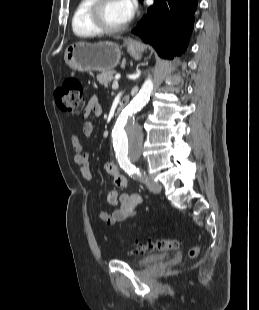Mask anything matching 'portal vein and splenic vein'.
I'll return each instance as SVG.
<instances>
[{
	"label": "portal vein and splenic vein",
	"instance_id": "obj_1",
	"mask_svg": "<svg viewBox=\"0 0 259 310\" xmlns=\"http://www.w3.org/2000/svg\"><path fill=\"white\" fill-rule=\"evenodd\" d=\"M118 87H119L118 83H113L112 89H118Z\"/></svg>",
	"mask_w": 259,
	"mask_h": 310
}]
</instances>
